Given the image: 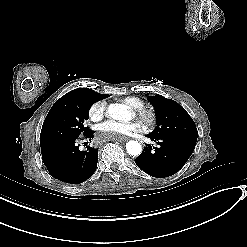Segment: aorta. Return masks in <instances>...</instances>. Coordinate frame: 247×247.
<instances>
[{"label":"aorta","instance_id":"1","mask_svg":"<svg viewBox=\"0 0 247 247\" xmlns=\"http://www.w3.org/2000/svg\"><path fill=\"white\" fill-rule=\"evenodd\" d=\"M107 115L115 120H127L129 111L125 105L115 103L108 106ZM126 150L129 155L138 156L142 152V147L138 141L130 140L126 144Z\"/></svg>","mask_w":247,"mask_h":247}]
</instances>
